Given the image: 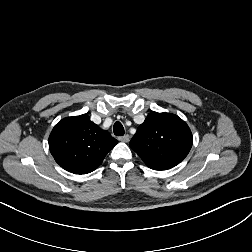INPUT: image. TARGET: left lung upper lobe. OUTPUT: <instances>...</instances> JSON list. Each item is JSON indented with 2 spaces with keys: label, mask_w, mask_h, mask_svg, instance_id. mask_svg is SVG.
I'll use <instances>...</instances> for the list:
<instances>
[{
  "label": "left lung upper lobe",
  "mask_w": 252,
  "mask_h": 252,
  "mask_svg": "<svg viewBox=\"0 0 252 252\" xmlns=\"http://www.w3.org/2000/svg\"><path fill=\"white\" fill-rule=\"evenodd\" d=\"M193 143L188 125L171 113H149L138 127L129 146L149 168L164 163L178 164Z\"/></svg>",
  "instance_id": "1"
}]
</instances>
